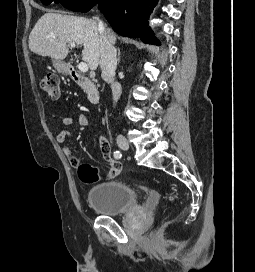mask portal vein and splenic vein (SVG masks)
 Wrapping results in <instances>:
<instances>
[{
  "mask_svg": "<svg viewBox=\"0 0 255 272\" xmlns=\"http://www.w3.org/2000/svg\"><path fill=\"white\" fill-rule=\"evenodd\" d=\"M70 46H71V48H74L76 46V44L71 43ZM78 68L81 72H87L88 71V64L85 62H81V63H79Z\"/></svg>",
  "mask_w": 255,
  "mask_h": 272,
  "instance_id": "1",
  "label": "portal vein and splenic vein"
}]
</instances>
